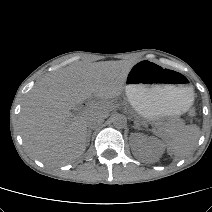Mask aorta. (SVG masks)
<instances>
[{"instance_id":"1","label":"aorta","mask_w":212,"mask_h":212,"mask_svg":"<svg viewBox=\"0 0 212 212\" xmlns=\"http://www.w3.org/2000/svg\"><path fill=\"white\" fill-rule=\"evenodd\" d=\"M112 123L116 128H124L127 124V119L122 114H116L112 118Z\"/></svg>"}]
</instances>
